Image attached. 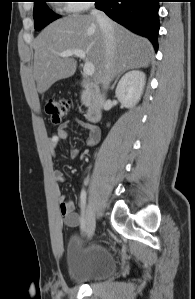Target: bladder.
<instances>
[{"label": "bladder", "mask_w": 195, "mask_h": 299, "mask_svg": "<svg viewBox=\"0 0 195 299\" xmlns=\"http://www.w3.org/2000/svg\"><path fill=\"white\" fill-rule=\"evenodd\" d=\"M69 276L76 282L89 284L113 276L117 262L103 244L85 243L79 235H74L67 246Z\"/></svg>", "instance_id": "obj_1"}]
</instances>
